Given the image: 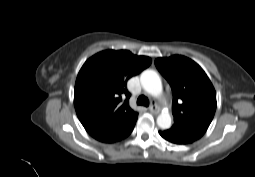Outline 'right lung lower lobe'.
Wrapping results in <instances>:
<instances>
[{
  "label": "right lung lower lobe",
  "mask_w": 255,
  "mask_h": 177,
  "mask_svg": "<svg viewBox=\"0 0 255 177\" xmlns=\"http://www.w3.org/2000/svg\"><path fill=\"white\" fill-rule=\"evenodd\" d=\"M137 117L138 115L129 119L128 121L124 122L122 125L117 127L115 130L108 133L106 136L97 140L104 143H115L126 138L132 132L135 126Z\"/></svg>",
  "instance_id": "right-lung-lower-lobe-1"
}]
</instances>
